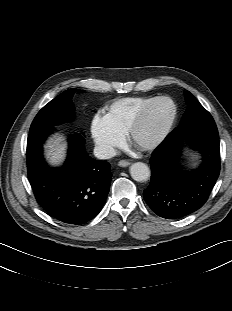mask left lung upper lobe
Listing matches in <instances>:
<instances>
[{
  "label": "left lung upper lobe",
  "mask_w": 232,
  "mask_h": 311,
  "mask_svg": "<svg viewBox=\"0 0 232 311\" xmlns=\"http://www.w3.org/2000/svg\"><path fill=\"white\" fill-rule=\"evenodd\" d=\"M185 98L188 107L182 121L210 114L189 91L185 93Z\"/></svg>",
  "instance_id": "obj_1"
}]
</instances>
